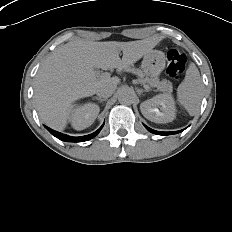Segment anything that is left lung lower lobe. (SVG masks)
Here are the masks:
<instances>
[{"label":"left lung lower lobe","mask_w":232,"mask_h":232,"mask_svg":"<svg viewBox=\"0 0 232 232\" xmlns=\"http://www.w3.org/2000/svg\"><path fill=\"white\" fill-rule=\"evenodd\" d=\"M150 132L152 133H155V134H158V135H169V134H173V133H178V132H181L182 130L180 131H175V132H160V131H156V130H153L147 126H145Z\"/></svg>","instance_id":"0a47b994"}]
</instances>
